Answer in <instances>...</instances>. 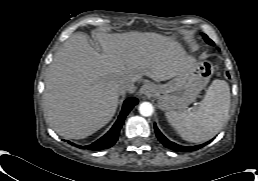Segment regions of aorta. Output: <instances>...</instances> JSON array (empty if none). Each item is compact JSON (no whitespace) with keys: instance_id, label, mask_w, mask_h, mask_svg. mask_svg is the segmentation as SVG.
I'll use <instances>...</instances> for the list:
<instances>
[{"instance_id":"1","label":"aorta","mask_w":258,"mask_h":181,"mask_svg":"<svg viewBox=\"0 0 258 181\" xmlns=\"http://www.w3.org/2000/svg\"><path fill=\"white\" fill-rule=\"evenodd\" d=\"M139 112L142 116L148 117L151 116L153 114V106L150 102H142L139 105Z\"/></svg>"}]
</instances>
